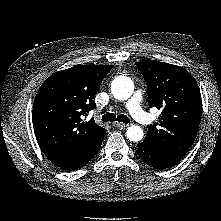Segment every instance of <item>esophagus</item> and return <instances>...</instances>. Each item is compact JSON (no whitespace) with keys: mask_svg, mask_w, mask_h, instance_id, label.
<instances>
[{"mask_svg":"<svg viewBox=\"0 0 221 221\" xmlns=\"http://www.w3.org/2000/svg\"><path fill=\"white\" fill-rule=\"evenodd\" d=\"M113 126L117 128H125L128 126V124L121 123V122H113Z\"/></svg>","mask_w":221,"mask_h":221,"instance_id":"obj_1","label":"esophagus"}]
</instances>
